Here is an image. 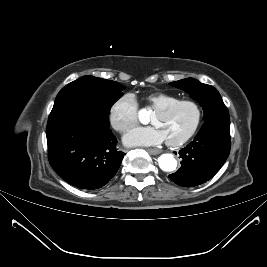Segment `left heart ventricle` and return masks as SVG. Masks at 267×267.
I'll return each instance as SVG.
<instances>
[{"label": "left heart ventricle", "mask_w": 267, "mask_h": 267, "mask_svg": "<svg viewBox=\"0 0 267 267\" xmlns=\"http://www.w3.org/2000/svg\"><path fill=\"white\" fill-rule=\"evenodd\" d=\"M196 112L190 104H183L167 114L154 113L151 122L165 135L166 140H176L184 136L192 127Z\"/></svg>", "instance_id": "1"}]
</instances>
